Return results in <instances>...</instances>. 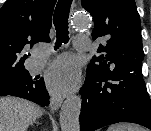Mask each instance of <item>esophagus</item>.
Wrapping results in <instances>:
<instances>
[{
  "mask_svg": "<svg viewBox=\"0 0 151 131\" xmlns=\"http://www.w3.org/2000/svg\"><path fill=\"white\" fill-rule=\"evenodd\" d=\"M63 98L61 96H52L50 100V107L52 110H57L62 104Z\"/></svg>",
  "mask_w": 151,
  "mask_h": 131,
  "instance_id": "obj_1",
  "label": "esophagus"
}]
</instances>
